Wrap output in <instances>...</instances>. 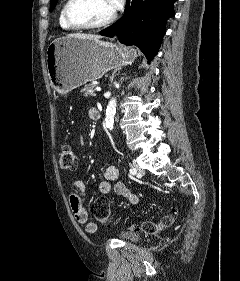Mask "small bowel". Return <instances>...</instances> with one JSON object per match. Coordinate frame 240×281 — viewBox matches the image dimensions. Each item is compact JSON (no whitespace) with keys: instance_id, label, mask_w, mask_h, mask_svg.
Wrapping results in <instances>:
<instances>
[{"instance_id":"small-bowel-1","label":"small bowel","mask_w":240,"mask_h":281,"mask_svg":"<svg viewBox=\"0 0 240 281\" xmlns=\"http://www.w3.org/2000/svg\"><path fill=\"white\" fill-rule=\"evenodd\" d=\"M96 110H89V117L96 119ZM118 178V171L114 166L106 167L101 174V180L99 181L97 188L101 194H108L111 190L116 195L122 196L128 200L132 205L139 202V197L131 192L123 182L116 181ZM115 182L112 186V183ZM85 185L81 180H75L73 182V192L69 196V205L74 215V218L79 224L85 225L88 233L98 232V225L95 222L89 221L88 213L83 205L85 198Z\"/></svg>"}]
</instances>
